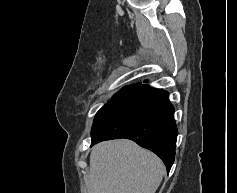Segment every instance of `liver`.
<instances>
[{
	"mask_svg": "<svg viewBox=\"0 0 237 193\" xmlns=\"http://www.w3.org/2000/svg\"><path fill=\"white\" fill-rule=\"evenodd\" d=\"M165 166L154 153L127 139L101 142L90 154L89 193H155Z\"/></svg>",
	"mask_w": 237,
	"mask_h": 193,
	"instance_id": "6515ba94",
	"label": "liver"
}]
</instances>
